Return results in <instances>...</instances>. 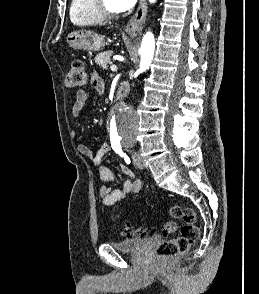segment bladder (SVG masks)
<instances>
[{"label": "bladder", "instance_id": "obj_1", "mask_svg": "<svg viewBox=\"0 0 259 294\" xmlns=\"http://www.w3.org/2000/svg\"><path fill=\"white\" fill-rule=\"evenodd\" d=\"M159 240L158 236L131 237L109 244L120 252H139L146 246Z\"/></svg>", "mask_w": 259, "mask_h": 294}]
</instances>
